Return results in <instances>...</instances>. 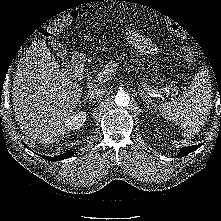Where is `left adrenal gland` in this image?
<instances>
[{
  "label": "left adrenal gland",
  "instance_id": "left-adrenal-gland-1",
  "mask_svg": "<svg viewBox=\"0 0 221 221\" xmlns=\"http://www.w3.org/2000/svg\"><path fill=\"white\" fill-rule=\"evenodd\" d=\"M138 93H139V96H142L143 100L146 102L147 108H149V103L152 104V106L154 107V104L152 103L149 96H147L142 90H139V89H138Z\"/></svg>",
  "mask_w": 221,
  "mask_h": 221
}]
</instances>
